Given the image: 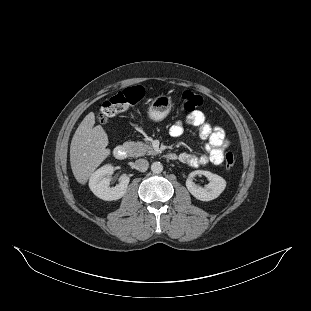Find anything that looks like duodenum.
Instances as JSON below:
<instances>
[{
    "instance_id": "duodenum-1",
    "label": "duodenum",
    "mask_w": 311,
    "mask_h": 311,
    "mask_svg": "<svg viewBox=\"0 0 311 311\" xmlns=\"http://www.w3.org/2000/svg\"><path fill=\"white\" fill-rule=\"evenodd\" d=\"M113 155L118 160L125 159L127 157V149L122 145H118L114 148ZM166 157L170 160H175L177 158L174 153H168Z\"/></svg>"
}]
</instances>
